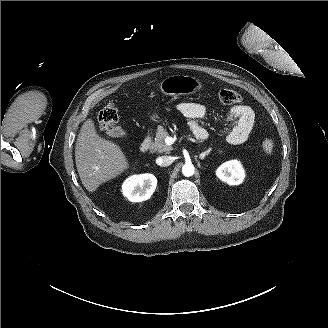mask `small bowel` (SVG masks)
<instances>
[{
	"instance_id": "small-bowel-1",
	"label": "small bowel",
	"mask_w": 328,
	"mask_h": 328,
	"mask_svg": "<svg viewBox=\"0 0 328 328\" xmlns=\"http://www.w3.org/2000/svg\"><path fill=\"white\" fill-rule=\"evenodd\" d=\"M177 110L188 119V124L197 139L201 140L207 136L206 130L196 121L208 114V109L204 105L183 102L177 105ZM227 121L231 124L227 140L233 145H239L248 139L254 126L255 113L248 105H235L228 112Z\"/></svg>"
}]
</instances>
